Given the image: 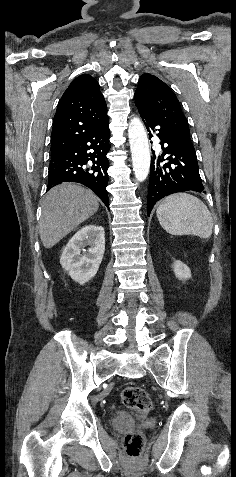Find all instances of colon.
<instances>
[{
  "instance_id": "obj_1",
  "label": "colon",
  "mask_w": 236,
  "mask_h": 477,
  "mask_svg": "<svg viewBox=\"0 0 236 477\" xmlns=\"http://www.w3.org/2000/svg\"><path fill=\"white\" fill-rule=\"evenodd\" d=\"M123 404L140 415H145L152 406L151 399L146 391L138 386H128L121 391ZM126 454L137 458L141 454L142 438L137 433H127L124 437Z\"/></svg>"
}]
</instances>
